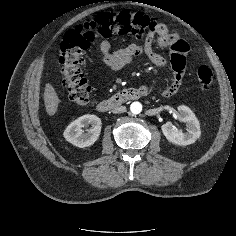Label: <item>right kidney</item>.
<instances>
[{"mask_svg": "<svg viewBox=\"0 0 236 236\" xmlns=\"http://www.w3.org/2000/svg\"><path fill=\"white\" fill-rule=\"evenodd\" d=\"M91 125L92 127L84 132L83 128ZM101 119L96 115H83L71 122L64 131V138L79 148L93 145L101 133Z\"/></svg>", "mask_w": 236, "mask_h": 236, "instance_id": "1", "label": "right kidney"}]
</instances>
